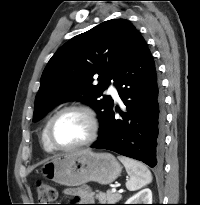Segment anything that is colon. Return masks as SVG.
I'll use <instances>...</instances> for the list:
<instances>
[{
  "mask_svg": "<svg viewBox=\"0 0 200 205\" xmlns=\"http://www.w3.org/2000/svg\"><path fill=\"white\" fill-rule=\"evenodd\" d=\"M35 185L38 202L40 203L38 205H53L51 203L56 200V189L48 182L43 180H38Z\"/></svg>",
  "mask_w": 200,
  "mask_h": 205,
  "instance_id": "colon-1",
  "label": "colon"
}]
</instances>
